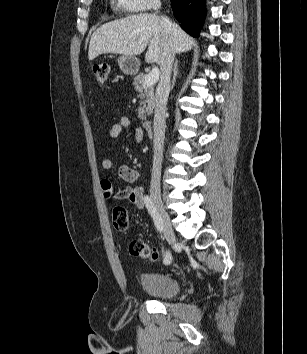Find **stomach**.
Wrapping results in <instances>:
<instances>
[{
	"label": "stomach",
	"instance_id": "0dacf381",
	"mask_svg": "<svg viewBox=\"0 0 307 354\" xmlns=\"http://www.w3.org/2000/svg\"><path fill=\"white\" fill-rule=\"evenodd\" d=\"M118 65L126 75H135L140 66L139 59L135 56L122 55L118 58Z\"/></svg>",
	"mask_w": 307,
	"mask_h": 354
}]
</instances>
